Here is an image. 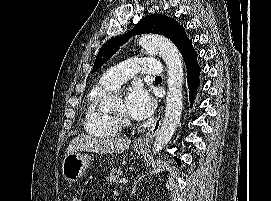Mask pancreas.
Returning <instances> with one entry per match:
<instances>
[{
  "label": "pancreas",
  "mask_w": 271,
  "mask_h": 201,
  "mask_svg": "<svg viewBox=\"0 0 271 201\" xmlns=\"http://www.w3.org/2000/svg\"><path fill=\"white\" fill-rule=\"evenodd\" d=\"M120 175H121V172H119V171H117L115 169H112L111 172H110V175H108L106 177V181L110 182V183H112V182L117 183Z\"/></svg>",
  "instance_id": "1"
}]
</instances>
